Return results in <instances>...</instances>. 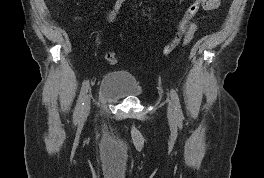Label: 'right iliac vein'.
<instances>
[{
    "instance_id": "1",
    "label": "right iliac vein",
    "mask_w": 264,
    "mask_h": 178,
    "mask_svg": "<svg viewBox=\"0 0 264 178\" xmlns=\"http://www.w3.org/2000/svg\"><path fill=\"white\" fill-rule=\"evenodd\" d=\"M90 99H91V96L88 95L85 100H84V104H83V108H82V112H81V121H84L88 114H89V111H90Z\"/></svg>"
}]
</instances>
